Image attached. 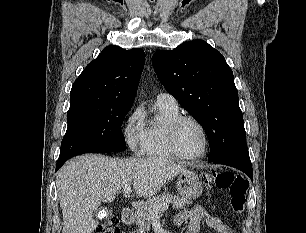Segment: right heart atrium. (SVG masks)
<instances>
[{
    "instance_id": "1",
    "label": "right heart atrium",
    "mask_w": 306,
    "mask_h": 233,
    "mask_svg": "<svg viewBox=\"0 0 306 233\" xmlns=\"http://www.w3.org/2000/svg\"><path fill=\"white\" fill-rule=\"evenodd\" d=\"M145 135L143 111L138 107L128 115L123 127L125 143L135 155L144 154Z\"/></svg>"
}]
</instances>
